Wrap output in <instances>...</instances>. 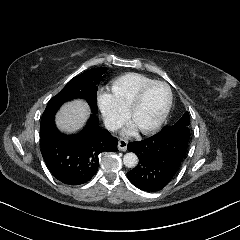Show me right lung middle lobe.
Segmentation results:
<instances>
[{"label": "right lung middle lobe", "mask_w": 240, "mask_h": 240, "mask_svg": "<svg viewBox=\"0 0 240 240\" xmlns=\"http://www.w3.org/2000/svg\"><path fill=\"white\" fill-rule=\"evenodd\" d=\"M107 68H92L72 78L66 86L49 101L41 122L54 118L60 106L73 99H84L91 107L92 113L97 112V90L98 84L103 79Z\"/></svg>", "instance_id": "right-lung-middle-lobe-1"}]
</instances>
